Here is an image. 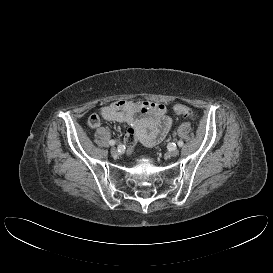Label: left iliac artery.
<instances>
[{"mask_svg":"<svg viewBox=\"0 0 273 273\" xmlns=\"http://www.w3.org/2000/svg\"><path fill=\"white\" fill-rule=\"evenodd\" d=\"M177 144L179 147H182L184 143H183V141L179 140Z\"/></svg>","mask_w":273,"mask_h":273,"instance_id":"44dca946","label":"left iliac artery"}]
</instances>
